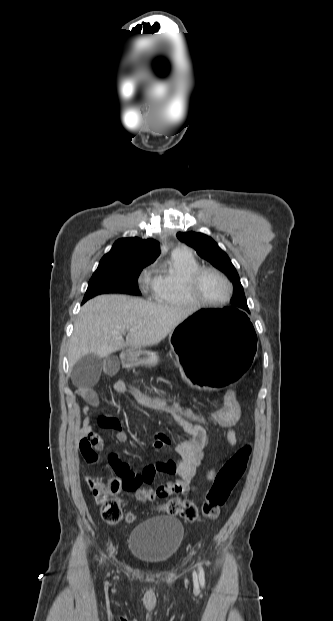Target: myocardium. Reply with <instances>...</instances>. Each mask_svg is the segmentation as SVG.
Segmentation results:
<instances>
[{
	"instance_id": "myocardium-1",
	"label": "myocardium",
	"mask_w": 333,
	"mask_h": 621,
	"mask_svg": "<svg viewBox=\"0 0 333 621\" xmlns=\"http://www.w3.org/2000/svg\"><path fill=\"white\" fill-rule=\"evenodd\" d=\"M205 273H213L216 274L217 276H219L227 285L228 288V293L226 295V297L220 301H209L206 300L204 298H202L199 293H198V283L200 278L205 274ZM186 291L188 293L189 298L192 300L193 304L196 305H202V306H210V307H217V306H222L227 304L232 295H233V284L231 282V280L226 276V274H224L222 271H220L217 268L214 267H199L197 270H195L188 278L187 282H186Z\"/></svg>"
}]
</instances>
